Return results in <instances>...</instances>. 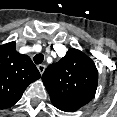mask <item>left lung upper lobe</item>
<instances>
[{
    "instance_id": "1",
    "label": "left lung upper lobe",
    "mask_w": 117,
    "mask_h": 117,
    "mask_svg": "<svg viewBox=\"0 0 117 117\" xmlns=\"http://www.w3.org/2000/svg\"><path fill=\"white\" fill-rule=\"evenodd\" d=\"M42 80L52 104L74 112L95 96L98 71L92 59L70 48L62 59L47 67Z\"/></svg>"
}]
</instances>
